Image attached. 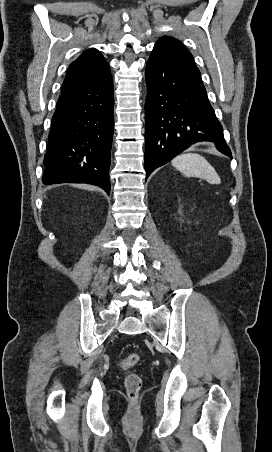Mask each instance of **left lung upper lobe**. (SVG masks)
I'll return each mask as SVG.
<instances>
[{"label":"left lung upper lobe","instance_id":"5c2ea615","mask_svg":"<svg viewBox=\"0 0 272 452\" xmlns=\"http://www.w3.org/2000/svg\"><path fill=\"white\" fill-rule=\"evenodd\" d=\"M155 45L169 46V47L175 49L176 51L180 52L184 56L188 57L190 60L194 61L191 53L185 48V46L179 40H177L175 38L168 37V36L161 37L156 42Z\"/></svg>","mask_w":272,"mask_h":452}]
</instances>
